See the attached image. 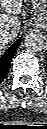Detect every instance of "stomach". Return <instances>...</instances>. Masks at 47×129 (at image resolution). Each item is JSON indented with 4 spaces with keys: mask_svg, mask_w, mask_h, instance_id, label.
Segmentation results:
<instances>
[{
    "mask_svg": "<svg viewBox=\"0 0 47 129\" xmlns=\"http://www.w3.org/2000/svg\"><path fill=\"white\" fill-rule=\"evenodd\" d=\"M35 11L34 25L47 29V0H30Z\"/></svg>",
    "mask_w": 47,
    "mask_h": 129,
    "instance_id": "0dacf381",
    "label": "stomach"
}]
</instances>
